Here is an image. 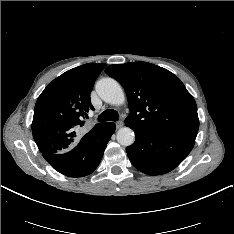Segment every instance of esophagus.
Masks as SVG:
<instances>
[{
  "label": "esophagus",
  "mask_w": 234,
  "mask_h": 234,
  "mask_svg": "<svg viewBox=\"0 0 234 234\" xmlns=\"http://www.w3.org/2000/svg\"><path fill=\"white\" fill-rule=\"evenodd\" d=\"M123 125H124V123H123L122 121H118V122H116V128H117V129L122 128V127H123Z\"/></svg>",
  "instance_id": "esophagus-1"
}]
</instances>
